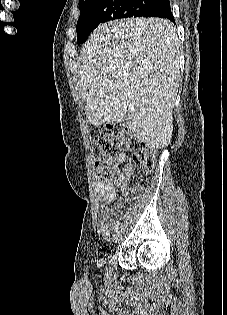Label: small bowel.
I'll list each match as a JSON object with an SVG mask.
<instances>
[{
    "label": "small bowel",
    "mask_w": 227,
    "mask_h": 315,
    "mask_svg": "<svg viewBox=\"0 0 227 315\" xmlns=\"http://www.w3.org/2000/svg\"><path fill=\"white\" fill-rule=\"evenodd\" d=\"M126 160L125 155L119 156V162L123 163ZM97 192L103 201L102 211L99 216V228L102 231H108L111 229L115 220L120 216L124 209L122 202L114 203L113 207L109 208L108 205L114 202L117 195V190L128 197L131 194L137 193V188H130L128 184V177L124 173H119L116 178L107 183L98 182L96 184Z\"/></svg>",
    "instance_id": "small-bowel-1"
}]
</instances>
